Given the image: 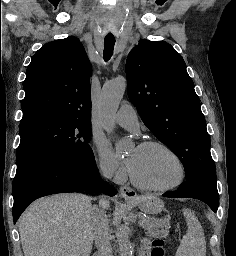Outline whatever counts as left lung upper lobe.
I'll list each match as a JSON object with an SVG mask.
<instances>
[{"label": "left lung upper lobe", "mask_w": 236, "mask_h": 256, "mask_svg": "<svg viewBox=\"0 0 236 256\" xmlns=\"http://www.w3.org/2000/svg\"><path fill=\"white\" fill-rule=\"evenodd\" d=\"M128 96L144 124L182 162L186 180L216 181L210 137L183 58L164 41L142 40L126 60Z\"/></svg>", "instance_id": "left-lung-upper-lobe-1"}]
</instances>
